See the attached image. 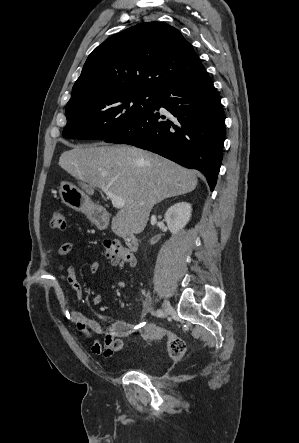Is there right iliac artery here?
Listing matches in <instances>:
<instances>
[{"mask_svg":"<svg viewBox=\"0 0 299 443\" xmlns=\"http://www.w3.org/2000/svg\"><path fill=\"white\" fill-rule=\"evenodd\" d=\"M162 315H163L162 310L158 309V310L156 311V316L161 317Z\"/></svg>","mask_w":299,"mask_h":443,"instance_id":"right-iliac-artery-1","label":"right iliac artery"}]
</instances>
